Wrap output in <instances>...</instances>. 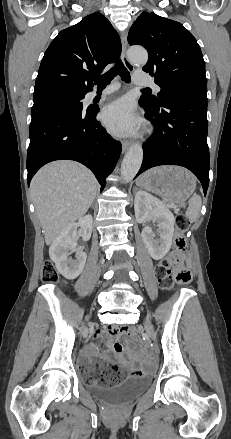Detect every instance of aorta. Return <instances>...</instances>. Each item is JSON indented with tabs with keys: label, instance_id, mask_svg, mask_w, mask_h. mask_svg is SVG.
<instances>
[{
	"label": "aorta",
	"instance_id": "1",
	"mask_svg": "<svg viewBox=\"0 0 231 439\" xmlns=\"http://www.w3.org/2000/svg\"><path fill=\"white\" fill-rule=\"evenodd\" d=\"M129 59L136 64L145 65L148 53L144 48L132 47L128 50ZM143 160V149L139 143L133 144L126 153L122 165L121 176L126 181H131L138 173Z\"/></svg>",
	"mask_w": 231,
	"mask_h": 439
}]
</instances>
